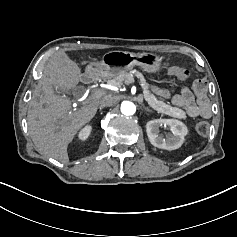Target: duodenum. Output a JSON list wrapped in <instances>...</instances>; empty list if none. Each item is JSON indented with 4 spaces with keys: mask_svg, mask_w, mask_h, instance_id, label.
I'll list each match as a JSON object with an SVG mask.
<instances>
[{
    "mask_svg": "<svg viewBox=\"0 0 237 237\" xmlns=\"http://www.w3.org/2000/svg\"><path fill=\"white\" fill-rule=\"evenodd\" d=\"M99 76V70L95 67L87 69L82 75V81L84 83L93 82Z\"/></svg>",
    "mask_w": 237,
    "mask_h": 237,
    "instance_id": "1",
    "label": "duodenum"
}]
</instances>
